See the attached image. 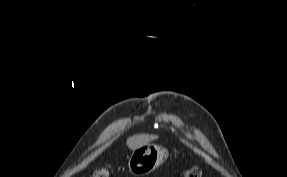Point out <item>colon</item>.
<instances>
[{"label":"colon","mask_w":287,"mask_h":177,"mask_svg":"<svg viewBox=\"0 0 287 177\" xmlns=\"http://www.w3.org/2000/svg\"><path fill=\"white\" fill-rule=\"evenodd\" d=\"M93 177H111V170L106 166L98 167L95 169ZM183 177H202V170L199 167L188 168Z\"/></svg>","instance_id":"colon-1"}]
</instances>
